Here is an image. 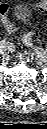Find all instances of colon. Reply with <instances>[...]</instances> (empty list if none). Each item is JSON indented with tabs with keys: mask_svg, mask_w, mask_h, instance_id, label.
<instances>
[{
	"mask_svg": "<svg viewBox=\"0 0 47 129\" xmlns=\"http://www.w3.org/2000/svg\"><path fill=\"white\" fill-rule=\"evenodd\" d=\"M35 6L39 10H44L46 8V1L39 0L35 3ZM8 10L9 9L7 4L0 5V15H1L2 24L9 33H14L16 31V28L14 27L13 23L11 22L8 16ZM23 41L27 45H31L32 43V40L29 36H25Z\"/></svg>",
	"mask_w": 47,
	"mask_h": 129,
	"instance_id": "1",
	"label": "colon"
}]
</instances>
